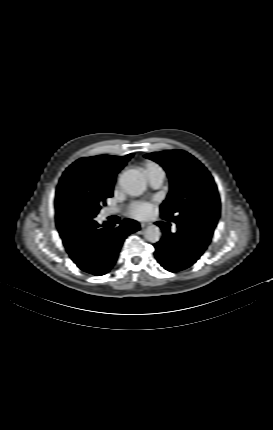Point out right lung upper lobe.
I'll return each mask as SVG.
<instances>
[{
	"label": "right lung upper lobe",
	"instance_id": "obj_1",
	"mask_svg": "<svg viewBox=\"0 0 273 430\" xmlns=\"http://www.w3.org/2000/svg\"><path fill=\"white\" fill-rule=\"evenodd\" d=\"M132 156L133 154H128L124 157L108 155L84 157L70 165L64 174L76 175L91 185H113L116 174L125 166ZM80 235L81 233L61 235L66 249L77 244L80 240Z\"/></svg>",
	"mask_w": 273,
	"mask_h": 430
}]
</instances>
